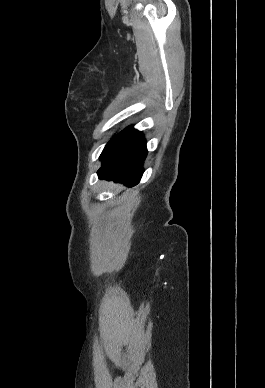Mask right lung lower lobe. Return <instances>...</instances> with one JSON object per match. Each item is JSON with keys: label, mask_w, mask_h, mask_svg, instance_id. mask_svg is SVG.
Returning a JSON list of instances; mask_svg holds the SVG:
<instances>
[{"label": "right lung lower lobe", "mask_w": 265, "mask_h": 388, "mask_svg": "<svg viewBox=\"0 0 265 388\" xmlns=\"http://www.w3.org/2000/svg\"><path fill=\"white\" fill-rule=\"evenodd\" d=\"M147 155L146 142L140 131L128 127L113 137L100 155L102 166L98 170L101 179H112L135 186L143 174V161Z\"/></svg>", "instance_id": "obj_1"}]
</instances>
